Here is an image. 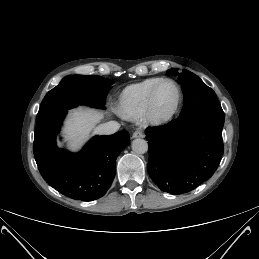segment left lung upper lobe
Returning a JSON list of instances; mask_svg holds the SVG:
<instances>
[{
	"mask_svg": "<svg viewBox=\"0 0 259 259\" xmlns=\"http://www.w3.org/2000/svg\"><path fill=\"white\" fill-rule=\"evenodd\" d=\"M169 72L179 75L182 83L184 105L179 116L210 108H221L215 92L194 73L183 70L181 74H178L175 69H171Z\"/></svg>",
	"mask_w": 259,
	"mask_h": 259,
	"instance_id": "left-lung-upper-lobe-1",
	"label": "left lung upper lobe"
}]
</instances>
